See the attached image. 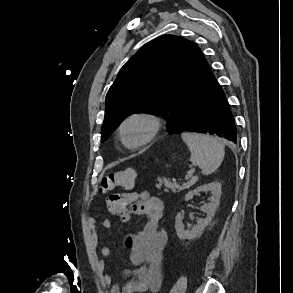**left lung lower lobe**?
Wrapping results in <instances>:
<instances>
[{"mask_svg":"<svg viewBox=\"0 0 293 293\" xmlns=\"http://www.w3.org/2000/svg\"><path fill=\"white\" fill-rule=\"evenodd\" d=\"M183 131L216 134L234 143L237 130L225 94L214 75L185 107L180 122L173 133Z\"/></svg>","mask_w":293,"mask_h":293,"instance_id":"obj_1","label":"left lung lower lobe"}]
</instances>
